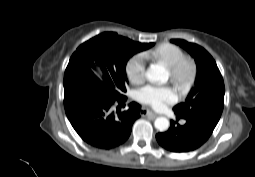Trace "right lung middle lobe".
<instances>
[{"label":"right lung middle lobe","instance_id":"dd1d6c3e","mask_svg":"<svg viewBox=\"0 0 255 177\" xmlns=\"http://www.w3.org/2000/svg\"><path fill=\"white\" fill-rule=\"evenodd\" d=\"M102 34L83 43L74 52L65 70L64 88L96 87L119 98L126 92L127 61L134 54L152 47L154 43L134 42L125 37L111 40Z\"/></svg>","mask_w":255,"mask_h":177}]
</instances>
